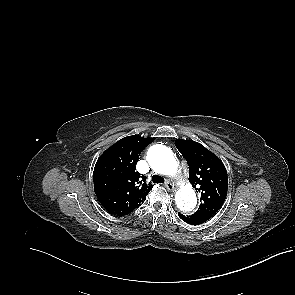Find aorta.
I'll return each instance as SVG.
<instances>
[{
  "mask_svg": "<svg viewBox=\"0 0 295 295\" xmlns=\"http://www.w3.org/2000/svg\"><path fill=\"white\" fill-rule=\"evenodd\" d=\"M147 160L150 166L160 174L175 176L178 172V164L173 153L168 147L162 144H156L150 147ZM175 202L178 209L185 214H189L195 209L197 197L191 185L182 186L177 191Z\"/></svg>",
  "mask_w": 295,
  "mask_h": 295,
  "instance_id": "1",
  "label": "aorta"
}]
</instances>
